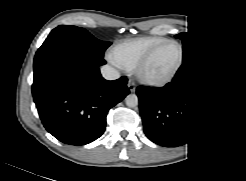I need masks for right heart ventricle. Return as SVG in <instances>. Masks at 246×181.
Listing matches in <instances>:
<instances>
[{"instance_id":"obj_1","label":"right heart ventricle","mask_w":246,"mask_h":181,"mask_svg":"<svg viewBox=\"0 0 246 181\" xmlns=\"http://www.w3.org/2000/svg\"><path fill=\"white\" fill-rule=\"evenodd\" d=\"M160 41L145 38L141 40L131 41L125 45L117 47L113 53L120 60L123 66L134 68L139 65L148 54L160 45Z\"/></svg>"}]
</instances>
